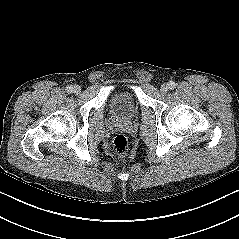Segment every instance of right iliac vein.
Here are the masks:
<instances>
[{
  "label": "right iliac vein",
  "instance_id": "obj_1",
  "mask_svg": "<svg viewBox=\"0 0 239 239\" xmlns=\"http://www.w3.org/2000/svg\"><path fill=\"white\" fill-rule=\"evenodd\" d=\"M73 92H74L75 94H80V93H81V87H80L79 85H75V86L73 87Z\"/></svg>",
  "mask_w": 239,
  "mask_h": 239
}]
</instances>
